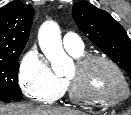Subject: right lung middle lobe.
I'll return each instance as SVG.
<instances>
[{
	"mask_svg": "<svg viewBox=\"0 0 131 115\" xmlns=\"http://www.w3.org/2000/svg\"><path fill=\"white\" fill-rule=\"evenodd\" d=\"M22 51L0 57V100L9 101L22 99L18 86V58Z\"/></svg>",
	"mask_w": 131,
	"mask_h": 115,
	"instance_id": "dd1d6c3e",
	"label": "right lung middle lobe"
}]
</instances>
